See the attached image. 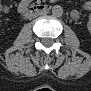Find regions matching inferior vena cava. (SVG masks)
Segmentation results:
<instances>
[{"instance_id": "inferior-vena-cava-1", "label": "inferior vena cava", "mask_w": 91, "mask_h": 91, "mask_svg": "<svg viewBox=\"0 0 91 91\" xmlns=\"http://www.w3.org/2000/svg\"><path fill=\"white\" fill-rule=\"evenodd\" d=\"M47 16V11H35L32 12V17Z\"/></svg>"}]
</instances>
